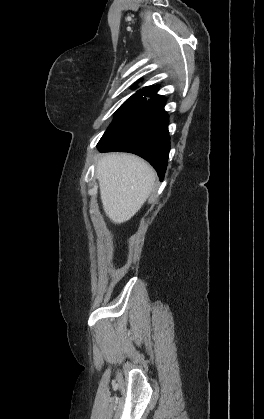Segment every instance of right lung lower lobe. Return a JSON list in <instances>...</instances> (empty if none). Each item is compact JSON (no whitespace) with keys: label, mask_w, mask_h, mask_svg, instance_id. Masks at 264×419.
<instances>
[{"label":"right lung lower lobe","mask_w":264,"mask_h":419,"mask_svg":"<svg viewBox=\"0 0 264 419\" xmlns=\"http://www.w3.org/2000/svg\"><path fill=\"white\" fill-rule=\"evenodd\" d=\"M165 98L149 99L132 124L113 140L99 148L100 152L121 151L137 154L147 160L163 180L170 150L168 115Z\"/></svg>","instance_id":"right-lung-lower-lobe-1"}]
</instances>
